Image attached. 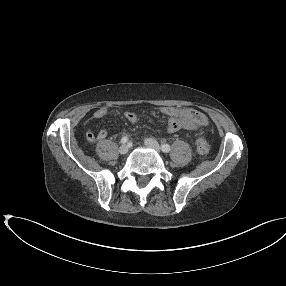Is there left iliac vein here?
Masks as SVG:
<instances>
[{
    "label": "left iliac vein",
    "instance_id": "obj_1",
    "mask_svg": "<svg viewBox=\"0 0 286 286\" xmlns=\"http://www.w3.org/2000/svg\"><path fill=\"white\" fill-rule=\"evenodd\" d=\"M145 145L147 147H149V148H152V149L156 150L157 152L160 151V146H159L158 142L155 139L147 138L145 140Z\"/></svg>",
    "mask_w": 286,
    "mask_h": 286
}]
</instances>
